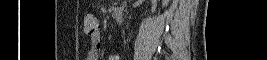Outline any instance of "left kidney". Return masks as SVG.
Instances as JSON below:
<instances>
[{
  "mask_svg": "<svg viewBox=\"0 0 267 60\" xmlns=\"http://www.w3.org/2000/svg\"><path fill=\"white\" fill-rule=\"evenodd\" d=\"M169 2H170V0H162V6L166 7Z\"/></svg>",
  "mask_w": 267,
  "mask_h": 60,
  "instance_id": "obj_1",
  "label": "left kidney"
}]
</instances>
